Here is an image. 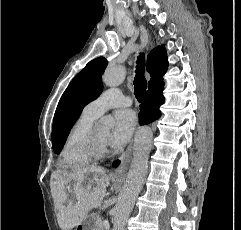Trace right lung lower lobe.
<instances>
[{
    "mask_svg": "<svg viewBox=\"0 0 241 230\" xmlns=\"http://www.w3.org/2000/svg\"><path fill=\"white\" fill-rule=\"evenodd\" d=\"M163 86V79L148 86L145 103L140 106L139 121L141 125L151 123L161 116L159 107L164 103Z\"/></svg>",
    "mask_w": 241,
    "mask_h": 230,
    "instance_id": "1",
    "label": "right lung lower lobe"
}]
</instances>
